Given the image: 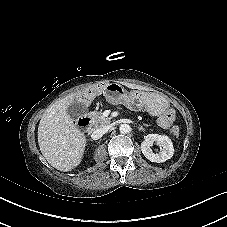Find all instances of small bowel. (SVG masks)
I'll list each match as a JSON object with an SVG mask.
<instances>
[{
  "label": "small bowel",
  "instance_id": "small-bowel-1",
  "mask_svg": "<svg viewBox=\"0 0 227 227\" xmlns=\"http://www.w3.org/2000/svg\"><path fill=\"white\" fill-rule=\"evenodd\" d=\"M96 92H98V90H96ZM172 121H173V114L171 111H168L158 119V124L160 127L167 129L170 127Z\"/></svg>",
  "mask_w": 227,
  "mask_h": 227
}]
</instances>
